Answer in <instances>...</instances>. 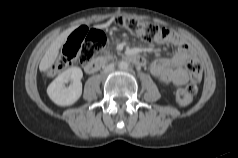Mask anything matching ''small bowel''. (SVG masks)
Returning a JSON list of instances; mask_svg holds the SVG:
<instances>
[{
  "instance_id": "obj_1",
  "label": "small bowel",
  "mask_w": 238,
  "mask_h": 158,
  "mask_svg": "<svg viewBox=\"0 0 238 158\" xmlns=\"http://www.w3.org/2000/svg\"><path fill=\"white\" fill-rule=\"evenodd\" d=\"M161 45L176 47L170 58H159L150 66L152 75L161 83L183 85L188 81V73L184 68L187 60L195 55L194 49L178 34L169 32L165 37L156 40Z\"/></svg>"
}]
</instances>
